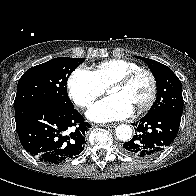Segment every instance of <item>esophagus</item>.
<instances>
[{"mask_svg":"<svg viewBox=\"0 0 196 196\" xmlns=\"http://www.w3.org/2000/svg\"><path fill=\"white\" fill-rule=\"evenodd\" d=\"M101 126H103V127H113V126H115V124L107 123V124H102Z\"/></svg>","mask_w":196,"mask_h":196,"instance_id":"esophagus-1","label":"esophagus"}]
</instances>
